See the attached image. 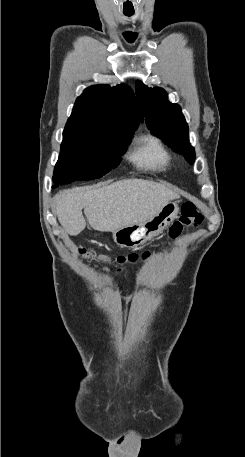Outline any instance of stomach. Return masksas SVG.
Listing matches in <instances>:
<instances>
[{
	"label": "stomach",
	"instance_id": "obj_1",
	"mask_svg": "<svg viewBox=\"0 0 245 457\" xmlns=\"http://www.w3.org/2000/svg\"><path fill=\"white\" fill-rule=\"evenodd\" d=\"M179 210L177 200H168L152 218L134 222V224H125L122 229L115 231L113 233L114 243L119 247H126V249H137V247L145 245L147 241H151L167 229L174 218H177Z\"/></svg>",
	"mask_w": 245,
	"mask_h": 457
}]
</instances>
